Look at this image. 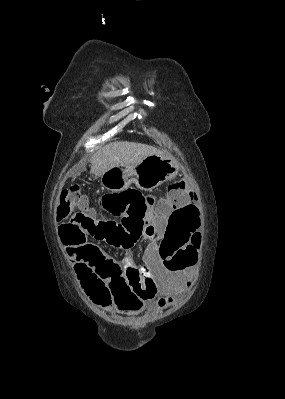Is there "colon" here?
Returning a JSON list of instances; mask_svg holds the SVG:
<instances>
[{
    "label": "colon",
    "mask_w": 285,
    "mask_h": 399,
    "mask_svg": "<svg viewBox=\"0 0 285 399\" xmlns=\"http://www.w3.org/2000/svg\"><path fill=\"white\" fill-rule=\"evenodd\" d=\"M191 190V184L186 181H175L168 185L169 198L163 200L160 206L165 207L174 202L176 197ZM147 201L135 196L130 191L119 194H105L101 197L99 205L89 202L82 193L79 184H73L62 189L59 195V204L56 214L61 222L60 233L64 243L77 245L78 252L90 261L95 257L91 248L83 246L82 243L89 238H98L110 245L129 250L135 246L144 234L149 224ZM110 210L120 216L116 222H104L101 227L97 226L94 214L98 208ZM187 207L177 206L171 219V223H182L190 218ZM100 230L95 237L93 232ZM190 264L185 257L182 243L166 242L159 246L156 252V268L160 274L183 270ZM76 276L88 292H97L104 296L105 301H110L108 284L103 275L93 270L91 264L76 268ZM145 287V290L143 288ZM120 294L128 305H135L141 298H151L157 292V286L153 270L149 265H143L139 269V277L124 284L120 288Z\"/></svg>",
    "instance_id": "1"
}]
</instances>
